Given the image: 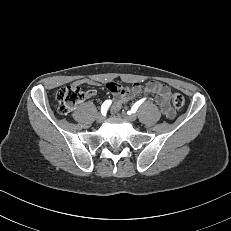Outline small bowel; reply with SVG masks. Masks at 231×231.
<instances>
[{"instance_id": "c3829d8e", "label": "small bowel", "mask_w": 231, "mask_h": 231, "mask_svg": "<svg viewBox=\"0 0 231 231\" xmlns=\"http://www.w3.org/2000/svg\"><path fill=\"white\" fill-rule=\"evenodd\" d=\"M77 85L81 84H89V85H95L96 82L90 79H80L76 81ZM107 88L116 95L117 100L115 101L113 105V110H118L121 105L133 94H136L140 90L139 84H132L129 87H124L121 85H118L116 83H108ZM145 90L148 93L155 94L156 98L155 101L157 105L160 107L161 112L164 116L167 118H174L175 117V111L170 105V89L159 82L151 81L149 82ZM96 94L95 90H90L87 92L88 97H93Z\"/></svg>"}]
</instances>
